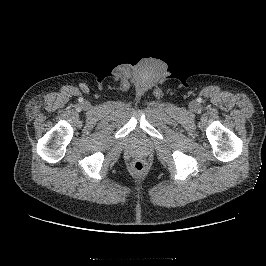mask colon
I'll return each instance as SVG.
<instances>
[{"instance_id": "colon-1", "label": "colon", "mask_w": 266, "mask_h": 266, "mask_svg": "<svg viewBox=\"0 0 266 266\" xmlns=\"http://www.w3.org/2000/svg\"><path fill=\"white\" fill-rule=\"evenodd\" d=\"M145 169L146 164L142 160H135L132 164V170L137 174L143 173Z\"/></svg>"}]
</instances>
